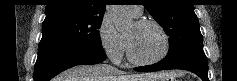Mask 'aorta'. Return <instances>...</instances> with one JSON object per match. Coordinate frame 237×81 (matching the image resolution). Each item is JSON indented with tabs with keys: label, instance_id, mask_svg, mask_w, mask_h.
<instances>
[{
	"label": "aorta",
	"instance_id": "762f6f07",
	"mask_svg": "<svg viewBox=\"0 0 237 81\" xmlns=\"http://www.w3.org/2000/svg\"><path fill=\"white\" fill-rule=\"evenodd\" d=\"M107 13L112 18L115 28L118 31L128 29L133 23V18L125 5H109Z\"/></svg>",
	"mask_w": 237,
	"mask_h": 81
}]
</instances>
